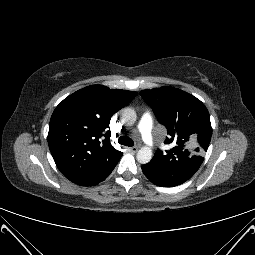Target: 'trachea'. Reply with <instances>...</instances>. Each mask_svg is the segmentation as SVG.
I'll return each mask as SVG.
<instances>
[{"label": "trachea", "mask_w": 255, "mask_h": 255, "mask_svg": "<svg viewBox=\"0 0 255 255\" xmlns=\"http://www.w3.org/2000/svg\"><path fill=\"white\" fill-rule=\"evenodd\" d=\"M118 142L121 145L129 146V147H132L134 145L133 140L131 138H129L128 136H121L119 138Z\"/></svg>", "instance_id": "3493384b"}]
</instances>
